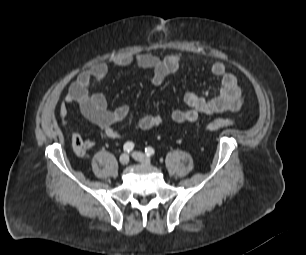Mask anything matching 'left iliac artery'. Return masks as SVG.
Here are the masks:
<instances>
[{"mask_svg":"<svg viewBox=\"0 0 306 255\" xmlns=\"http://www.w3.org/2000/svg\"><path fill=\"white\" fill-rule=\"evenodd\" d=\"M145 153L147 156H153L155 154V150L152 147H146Z\"/></svg>","mask_w":306,"mask_h":255,"instance_id":"left-iliac-artery-1","label":"left iliac artery"}]
</instances>
